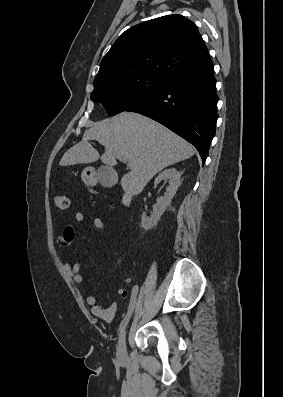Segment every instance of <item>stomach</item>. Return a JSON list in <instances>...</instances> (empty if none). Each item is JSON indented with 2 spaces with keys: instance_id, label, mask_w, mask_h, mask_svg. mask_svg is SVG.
<instances>
[{
  "instance_id": "stomach-1",
  "label": "stomach",
  "mask_w": 283,
  "mask_h": 397,
  "mask_svg": "<svg viewBox=\"0 0 283 397\" xmlns=\"http://www.w3.org/2000/svg\"><path fill=\"white\" fill-rule=\"evenodd\" d=\"M83 182L88 186H95L99 180V173L93 167H86L81 174Z\"/></svg>"
}]
</instances>
